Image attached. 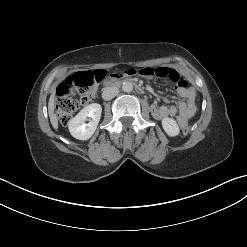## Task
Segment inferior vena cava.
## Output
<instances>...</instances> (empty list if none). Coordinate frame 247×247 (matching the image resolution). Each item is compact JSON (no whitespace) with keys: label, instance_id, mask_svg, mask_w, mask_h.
Listing matches in <instances>:
<instances>
[{"label":"inferior vena cava","instance_id":"inferior-vena-cava-1","mask_svg":"<svg viewBox=\"0 0 247 247\" xmlns=\"http://www.w3.org/2000/svg\"><path fill=\"white\" fill-rule=\"evenodd\" d=\"M118 92H119L118 87L115 86L106 87L102 92V98L106 101L111 100L118 94Z\"/></svg>","mask_w":247,"mask_h":247}]
</instances>
